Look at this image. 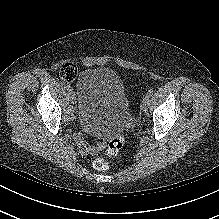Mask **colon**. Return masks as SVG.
<instances>
[{
    "label": "colon",
    "mask_w": 219,
    "mask_h": 219,
    "mask_svg": "<svg viewBox=\"0 0 219 219\" xmlns=\"http://www.w3.org/2000/svg\"><path fill=\"white\" fill-rule=\"evenodd\" d=\"M60 77L66 82H72L77 74L76 67L72 63H65L61 66L59 70ZM125 142V138L123 134H119L118 136L111 139L108 143L106 154L107 156H115L120 149L123 147ZM93 167L99 171L108 170L110 167L109 162L106 158H98L93 162Z\"/></svg>",
    "instance_id": "obj_1"
}]
</instances>
